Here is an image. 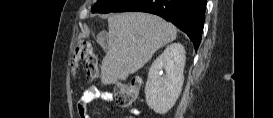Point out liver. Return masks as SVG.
I'll use <instances>...</instances> for the list:
<instances>
[{
    "label": "liver",
    "mask_w": 273,
    "mask_h": 118,
    "mask_svg": "<svg viewBox=\"0 0 273 118\" xmlns=\"http://www.w3.org/2000/svg\"><path fill=\"white\" fill-rule=\"evenodd\" d=\"M108 29V50L101 65L104 85L126 80L177 35V29L171 23L143 12L112 15L108 18Z\"/></svg>",
    "instance_id": "obj_1"
}]
</instances>
